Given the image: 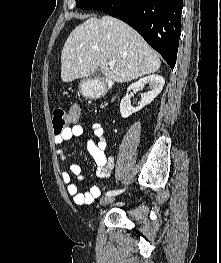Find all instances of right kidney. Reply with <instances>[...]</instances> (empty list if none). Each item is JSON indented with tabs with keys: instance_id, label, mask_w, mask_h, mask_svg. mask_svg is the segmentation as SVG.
<instances>
[{
	"instance_id": "obj_1",
	"label": "right kidney",
	"mask_w": 221,
	"mask_h": 263,
	"mask_svg": "<svg viewBox=\"0 0 221 263\" xmlns=\"http://www.w3.org/2000/svg\"><path fill=\"white\" fill-rule=\"evenodd\" d=\"M146 84L149 85V91L142 96L140 105L136 108L131 106L129 91L142 89ZM164 84L165 80L162 76L153 74L144 77L136 83L130 85L127 89L125 97L121 100L120 103L121 116L123 118H127L132 113L141 110L143 107L151 103L154 100V98H156L158 94L162 91Z\"/></svg>"
}]
</instances>
